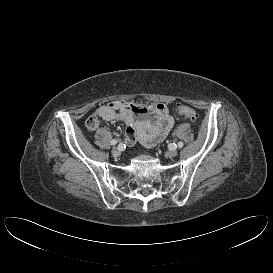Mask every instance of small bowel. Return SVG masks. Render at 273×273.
<instances>
[{
    "label": "small bowel",
    "mask_w": 273,
    "mask_h": 273,
    "mask_svg": "<svg viewBox=\"0 0 273 273\" xmlns=\"http://www.w3.org/2000/svg\"><path fill=\"white\" fill-rule=\"evenodd\" d=\"M100 119L125 123L126 143L133 145L138 141L146 147L163 141L174 125V118L164 103L144 105L127 101L109 102L98 107L88 118L87 130L95 131Z\"/></svg>",
    "instance_id": "obj_1"
}]
</instances>
